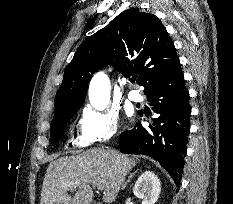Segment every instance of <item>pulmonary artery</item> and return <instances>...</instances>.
<instances>
[{"label":"pulmonary artery","mask_w":233,"mask_h":204,"mask_svg":"<svg viewBox=\"0 0 233 204\" xmlns=\"http://www.w3.org/2000/svg\"><path fill=\"white\" fill-rule=\"evenodd\" d=\"M128 98L131 101H135V102H140L142 100L141 94L138 91H136V90L129 91Z\"/></svg>","instance_id":"pulmonary-artery-1"}]
</instances>
